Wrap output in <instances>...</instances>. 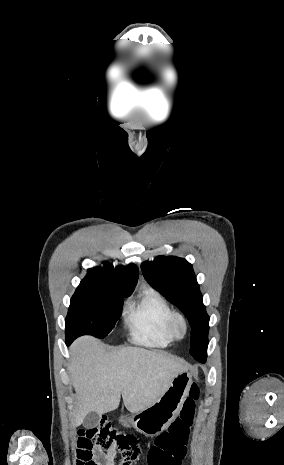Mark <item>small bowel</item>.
I'll return each mask as SVG.
<instances>
[{
    "label": "small bowel",
    "instance_id": "c3829d8e",
    "mask_svg": "<svg viewBox=\"0 0 284 465\" xmlns=\"http://www.w3.org/2000/svg\"><path fill=\"white\" fill-rule=\"evenodd\" d=\"M114 457H115V449L114 447L110 448L109 452L107 453V457L104 462H100L101 465H114Z\"/></svg>",
    "mask_w": 284,
    "mask_h": 465
}]
</instances>
